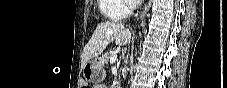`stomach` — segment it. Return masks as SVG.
Instances as JSON below:
<instances>
[{
    "label": "stomach",
    "instance_id": "1",
    "mask_svg": "<svg viewBox=\"0 0 227 88\" xmlns=\"http://www.w3.org/2000/svg\"><path fill=\"white\" fill-rule=\"evenodd\" d=\"M84 77L87 81L98 83L104 79V60L96 57L94 60L88 61L84 65Z\"/></svg>",
    "mask_w": 227,
    "mask_h": 88
}]
</instances>
